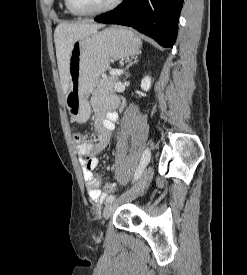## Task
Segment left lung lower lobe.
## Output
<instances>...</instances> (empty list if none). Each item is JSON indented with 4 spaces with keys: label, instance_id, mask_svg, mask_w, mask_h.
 Instances as JSON below:
<instances>
[{
    "label": "left lung lower lobe",
    "instance_id": "obj_1",
    "mask_svg": "<svg viewBox=\"0 0 247 275\" xmlns=\"http://www.w3.org/2000/svg\"><path fill=\"white\" fill-rule=\"evenodd\" d=\"M182 4L183 0H124L114 10L94 20L132 27L161 46L172 48Z\"/></svg>",
    "mask_w": 247,
    "mask_h": 275
}]
</instances>
